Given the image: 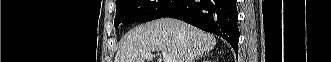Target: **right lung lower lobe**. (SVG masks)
Instances as JSON below:
<instances>
[{"label":"right lung lower lobe","mask_w":331,"mask_h":62,"mask_svg":"<svg viewBox=\"0 0 331 62\" xmlns=\"http://www.w3.org/2000/svg\"><path fill=\"white\" fill-rule=\"evenodd\" d=\"M162 17L183 20L227 40L238 54L236 0H181Z\"/></svg>","instance_id":"98d812e1"}]
</instances>
